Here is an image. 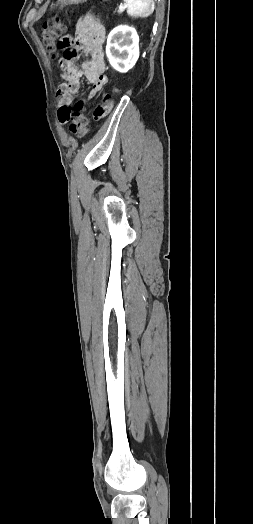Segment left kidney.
Segmentation results:
<instances>
[{
  "mask_svg": "<svg viewBox=\"0 0 253 524\" xmlns=\"http://www.w3.org/2000/svg\"><path fill=\"white\" fill-rule=\"evenodd\" d=\"M106 55L110 65L125 73L139 58V37L136 30L129 26L114 28L107 37Z\"/></svg>",
  "mask_w": 253,
  "mask_h": 524,
  "instance_id": "1",
  "label": "left kidney"
}]
</instances>
